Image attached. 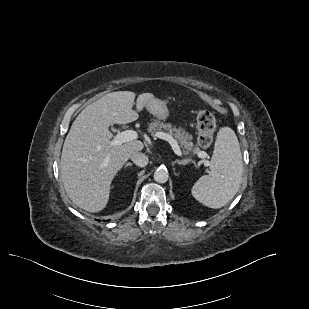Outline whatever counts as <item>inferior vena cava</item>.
<instances>
[{"label":"inferior vena cava","instance_id":"602c4592","mask_svg":"<svg viewBox=\"0 0 309 309\" xmlns=\"http://www.w3.org/2000/svg\"><path fill=\"white\" fill-rule=\"evenodd\" d=\"M131 160L139 167H145L148 164V157L141 152H135L131 155Z\"/></svg>","mask_w":309,"mask_h":309}]
</instances>
